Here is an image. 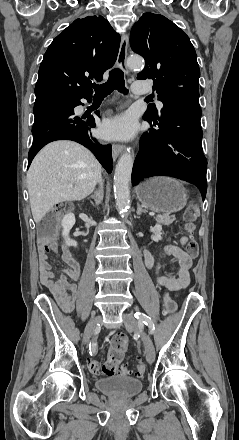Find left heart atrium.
I'll list each match as a JSON object with an SVG mask.
<instances>
[{"label": "left heart atrium", "mask_w": 239, "mask_h": 440, "mask_svg": "<svg viewBox=\"0 0 239 440\" xmlns=\"http://www.w3.org/2000/svg\"><path fill=\"white\" fill-rule=\"evenodd\" d=\"M136 130V119L130 113L117 115L102 125L103 134L110 139L132 138Z\"/></svg>", "instance_id": "39dd6f15"}]
</instances>
